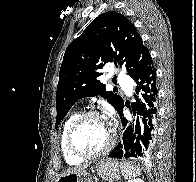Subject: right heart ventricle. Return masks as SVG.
I'll use <instances>...</instances> for the list:
<instances>
[{"mask_svg":"<svg viewBox=\"0 0 196 182\" xmlns=\"http://www.w3.org/2000/svg\"><path fill=\"white\" fill-rule=\"evenodd\" d=\"M79 115L78 112L72 113L64 122L63 127H62V132H61V150L62 154L64 156L65 161L69 165H79L83 162V159H80L73 155L68 147H67V142H66V137H67V132L69 130L70 125L72 122L76 119V117Z\"/></svg>","mask_w":196,"mask_h":182,"instance_id":"right-heart-ventricle-1","label":"right heart ventricle"}]
</instances>
